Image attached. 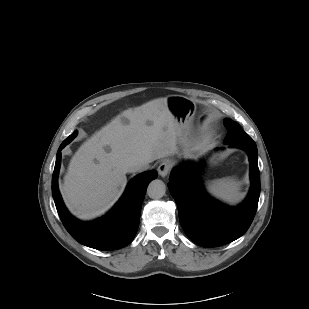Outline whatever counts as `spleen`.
I'll use <instances>...</instances> for the list:
<instances>
[{"label": "spleen", "instance_id": "obj_1", "mask_svg": "<svg viewBox=\"0 0 309 309\" xmlns=\"http://www.w3.org/2000/svg\"><path fill=\"white\" fill-rule=\"evenodd\" d=\"M207 190L212 196L230 204L239 202L243 196L239 182L234 179L214 180L208 183Z\"/></svg>", "mask_w": 309, "mask_h": 309}]
</instances>
